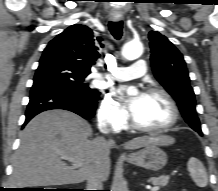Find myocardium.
Listing matches in <instances>:
<instances>
[{
    "label": "myocardium",
    "mask_w": 218,
    "mask_h": 191,
    "mask_svg": "<svg viewBox=\"0 0 218 191\" xmlns=\"http://www.w3.org/2000/svg\"><path fill=\"white\" fill-rule=\"evenodd\" d=\"M146 94L162 96L170 105V108L172 111V118H171L170 122L163 127L150 128V127H144V126L139 125L137 123V121L135 120L134 116H132L131 117L132 127L138 131L145 132V133H151V134L164 133V132L171 130L173 127H175L179 121L180 111H179V107H178L176 101L174 100V98L164 89L157 88V87L149 88L147 90Z\"/></svg>",
    "instance_id": "myocardium-1"
}]
</instances>
